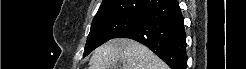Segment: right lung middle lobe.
<instances>
[{
  "instance_id": "obj_1",
  "label": "right lung middle lobe",
  "mask_w": 246,
  "mask_h": 69,
  "mask_svg": "<svg viewBox=\"0 0 246 69\" xmlns=\"http://www.w3.org/2000/svg\"><path fill=\"white\" fill-rule=\"evenodd\" d=\"M142 14H121L93 20L83 56L141 22Z\"/></svg>"
}]
</instances>
